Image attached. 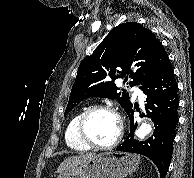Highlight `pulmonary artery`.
Returning a JSON list of instances; mask_svg holds the SVG:
<instances>
[{
	"label": "pulmonary artery",
	"instance_id": "pulmonary-artery-1",
	"mask_svg": "<svg viewBox=\"0 0 194 178\" xmlns=\"http://www.w3.org/2000/svg\"><path fill=\"white\" fill-rule=\"evenodd\" d=\"M134 94H135V96H137L139 99H142V98H143V93H142V91H141L138 87L134 88Z\"/></svg>",
	"mask_w": 194,
	"mask_h": 178
}]
</instances>
